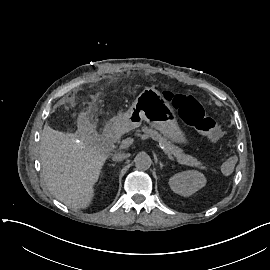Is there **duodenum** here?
Segmentation results:
<instances>
[{
    "mask_svg": "<svg viewBox=\"0 0 270 270\" xmlns=\"http://www.w3.org/2000/svg\"><path fill=\"white\" fill-rule=\"evenodd\" d=\"M122 120H113L105 128L103 133V142L107 146H112L119 141L124 130Z\"/></svg>",
    "mask_w": 270,
    "mask_h": 270,
    "instance_id": "1",
    "label": "duodenum"
}]
</instances>
